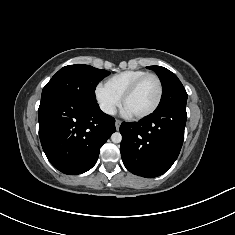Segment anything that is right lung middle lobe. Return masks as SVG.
<instances>
[{
    "instance_id": "dd1d6c3e",
    "label": "right lung middle lobe",
    "mask_w": 235,
    "mask_h": 235,
    "mask_svg": "<svg viewBox=\"0 0 235 235\" xmlns=\"http://www.w3.org/2000/svg\"><path fill=\"white\" fill-rule=\"evenodd\" d=\"M110 72L89 65L75 64L60 69L43 88L41 100L71 97L96 102L95 88Z\"/></svg>"
}]
</instances>
